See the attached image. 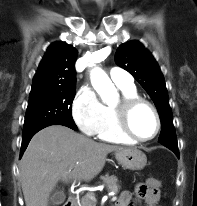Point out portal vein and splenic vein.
I'll return each mask as SVG.
<instances>
[{
  "instance_id": "portal-vein-and-splenic-vein-1",
  "label": "portal vein and splenic vein",
  "mask_w": 197,
  "mask_h": 206,
  "mask_svg": "<svg viewBox=\"0 0 197 206\" xmlns=\"http://www.w3.org/2000/svg\"><path fill=\"white\" fill-rule=\"evenodd\" d=\"M116 199H117V197L113 195L111 198V201H115Z\"/></svg>"
}]
</instances>
